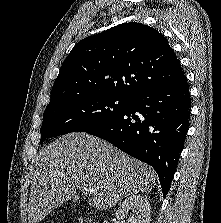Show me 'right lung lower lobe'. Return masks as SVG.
Masks as SVG:
<instances>
[{
	"instance_id": "98d812e1",
	"label": "right lung lower lobe",
	"mask_w": 221,
	"mask_h": 223,
	"mask_svg": "<svg viewBox=\"0 0 221 223\" xmlns=\"http://www.w3.org/2000/svg\"><path fill=\"white\" fill-rule=\"evenodd\" d=\"M190 109L184 76L171 85L138 94L121 114L85 132L151 165L166 197L184 146Z\"/></svg>"
}]
</instances>
